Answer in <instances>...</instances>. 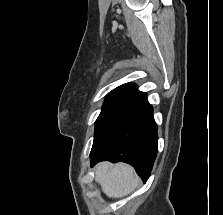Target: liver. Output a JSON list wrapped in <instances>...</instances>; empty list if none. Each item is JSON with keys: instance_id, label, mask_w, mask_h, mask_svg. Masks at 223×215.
I'll return each mask as SVG.
<instances>
[{"instance_id": "liver-1", "label": "liver", "mask_w": 223, "mask_h": 215, "mask_svg": "<svg viewBox=\"0 0 223 215\" xmlns=\"http://www.w3.org/2000/svg\"><path fill=\"white\" fill-rule=\"evenodd\" d=\"M95 181H99L108 197H123L134 191L139 183L133 167L127 163H109L102 161L95 169Z\"/></svg>"}]
</instances>
